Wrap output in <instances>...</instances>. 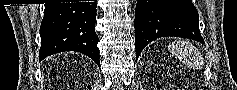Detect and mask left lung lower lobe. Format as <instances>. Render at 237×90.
Here are the masks:
<instances>
[{"label":"left lung lower lobe","instance_id":"0a47b994","mask_svg":"<svg viewBox=\"0 0 237 90\" xmlns=\"http://www.w3.org/2000/svg\"><path fill=\"white\" fill-rule=\"evenodd\" d=\"M198 12L191 0H138L135 9L136 59L151 41L183 37L204 44Z\"/></svg>","mask_w":237,"mask_h":90}]
</instances>
